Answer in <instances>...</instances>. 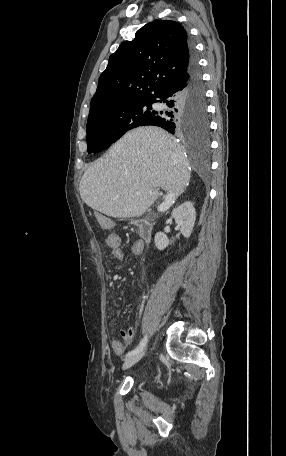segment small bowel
Returning <instances> with one entry per match:
<instances>
[{
  "mask_svg": "<svg viewBox=\"0 0 286 456\" xmlns=\"http://www.w3.org/2000/svg\"><path fill=\"white\" fill-rule=\"evenodd\" d=\"M107 245L111 250L110 254L113 259L118 261L125 259L126 254L123 248L121 247V240L117 234H110L107 237ZM143 249L144 244H142L140 241H137L133 243L130 247L129 254L131 256H138L143 252ZM120 335L125 343H130L133 341L135 337V329L134 327L122 329L120 331ZM112 348L114 353L119 356L125 352V345L118 340L112 341Z\"/></svg>",
  "mask_w": 286,
  "mask_h": 456,
  "instance_id": "1",
  "label": "small bowel"
}]
</instances>
